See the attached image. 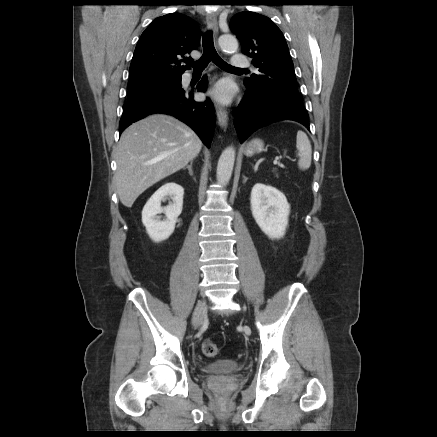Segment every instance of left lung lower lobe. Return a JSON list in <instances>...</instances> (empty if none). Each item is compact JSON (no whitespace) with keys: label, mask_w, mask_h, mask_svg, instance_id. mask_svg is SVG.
Listing matches in <instances>:
<instances>
[{"label":"left lung lower lobe","mask_w":437,"mask_h":437,"mask_svg":"<svg viewBox=\"0 0 437 437\" xmlns=\"http://www.w3.org/2000/svg\"><path fill=\"white\" fill-rule=\"evenodd\" d=\"M234 126L242 143L257 129L280 120H293L309 130V119L301 101L248 91L235 108Z\"/></svg>","instance_id":"left-lung-lower-lobe-1"}]
</instances>
